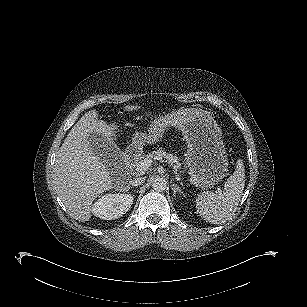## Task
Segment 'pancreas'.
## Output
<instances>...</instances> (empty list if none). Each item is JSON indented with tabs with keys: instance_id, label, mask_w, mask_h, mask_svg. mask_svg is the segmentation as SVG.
<instances>
[{
	"instance_id": "1",
	"label": "pancreas",
	"mask_w": 307,
	"mask_h": 307,
	"mask_svg": "<svg viewBox=\"0 0 307 307\" xmlns=\"http://www.w3.org/2000/svg\"><path fill=\"white\" fill-rule=\"evenodd\" d=\"M146 157L162 162L165 160V162L171 164L175 170L181 169V163L179 162V158L175 155L165 152L160 148L156 151H153L151 154H148Z\"/></svg>"
}]
</instances>
